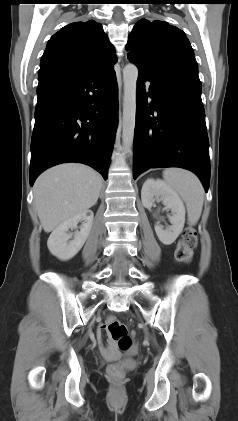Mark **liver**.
<instances>
[{"instance_id": "obj_1", "label": "liver", "mask_w": 238, "mask_h": 421, "mask_svg": "<svg viewBox=\"0 0 238 421\" xmlns=\"http://www.w3.org/2000/svg\"><path fill=\"white\" fill-rule=\"evenodd\" d=\"M102 179L83 164H62L43 172L34 184L35 208L45 232L96 204Z\"/></svg>"}]
</instances>
